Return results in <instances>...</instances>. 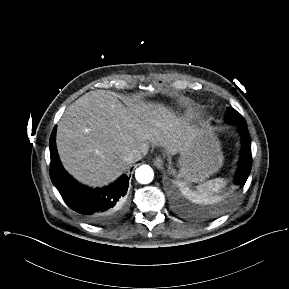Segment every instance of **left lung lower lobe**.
Instances as JSON below:
<instances>
[{"label":"left lung lower lobe","instance_id":"0a47b994","mask_svg":"<svg viewBox=\"0 0 289 289\" xmlns=\"http://www.w3.org/2000/svg\"><path fill=\"white\" fill-rule=\"evenodd\" d=\"M239 125L242 134V151L239 168L235 178V183L240 186H243L246 183V180L250 174L252 166V156H251V141L247 130V124H239Z\"/></svg>","mask_w":289,"mask_h":289}]
</instances>
